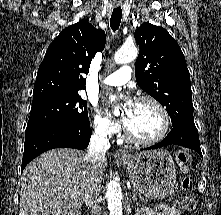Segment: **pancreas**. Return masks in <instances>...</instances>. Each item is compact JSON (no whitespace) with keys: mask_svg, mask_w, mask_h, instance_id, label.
Masks as SVG:
<instances>
[{"mask_svg":"<svg viewBox=\"0 0 221 215\" xmlns=\"http://www.w3.org/2000/svg\"><path fill=\"white\" fill-rule=\"evenodd\" d=\"M134 196L136 197V205L141 206L142 204H146L148 202V199L141 197L139 193H134Z\"/></svg>","mask_w":221,"mask_h":215,"instance_id":"1","label":"pancreas"}]
</instances>
